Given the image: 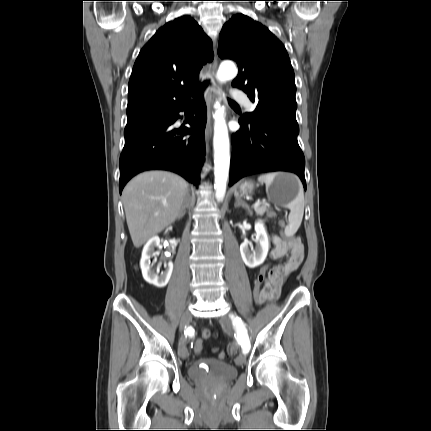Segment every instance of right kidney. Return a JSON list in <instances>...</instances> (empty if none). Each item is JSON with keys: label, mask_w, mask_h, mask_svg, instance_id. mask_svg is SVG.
Segmentation results:
<instances>
[{"label": "right kidney", "mask_w": 431, "mask_h": 431, "mask_svg": "<svg viewBox=\"0 0 431 431\" xmlns=\"http://www.w3.org/2000/svg\"><path fill=\"white\" fill-rule=\"evenodd\" d=\"M160 246V238L155 236L151 238L143 248L142 257L140 260V267L142 271L143 278L149 284L156 286L157 288H164L171 277L173 271V263L168 262L165 264V271L160 275L158 270L155 271L153 263L151 264V258L157 255L155 249Z\"/></svg>", "instance_id": "obj_1"}]
</instances>
